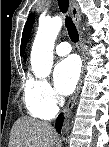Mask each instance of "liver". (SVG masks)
<instances>
[{
    "mask_svg": "<svg viewBox=\"0 0 109 147\" xmlns=\"http://www.w3.org/2000/svg\"><path fill=\"white\" fill-rule=\"evenodd\" d=\"M55 138L50 124L22 117L12 127L9 147H53Z\"/></svg>",
    "mask_w": 109,
    "mask_h": 147,
    "instance_id": "1",
    "label": "liver"
}]
</instances>
